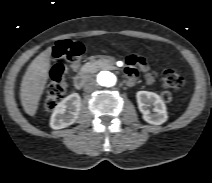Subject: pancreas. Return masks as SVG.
Listing matches in <instances>:
<instances>
[{
	"label": "pancreas",
	"mask_w": 212,
	"mask_h": 183,
	"mask_svg": "<svg viewBox=\"0 0 212 183\" xmlns=\"http://www.w3.org/2000/svg\"><path fill=\"white\" fill-rule=\"evenodd\" d=\"M85 67L89 71H94L96 69H107V70H114L116 69L115 66L112 65V62L109 60H98V61H90L85 65Z\"/></svg>",
	"instance_id": "pancreas-1"
}]
</instances>
